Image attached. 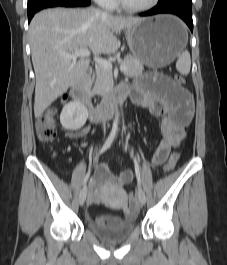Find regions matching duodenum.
Segmentation results:
<instances>
[{"label":"duodenum","mask_w":227,"mask_h":265,"mask_svg":"<svg viewBox=\"0 0 227 265\" xmlns=\"http://www.w3.org/2000/svg\"><path fill=\"white\" fill-rule=\"evenodd\" d=\"M127 95V90L119 87L110 101L99 106H94L89 95L88 73L80 77L71 88V96L75 100L83 103L89 109L90 117L93 121H101L111 118L115 110L125 101Z\"/></svg>","instance_id":"410a0bca"}]
</instances>
